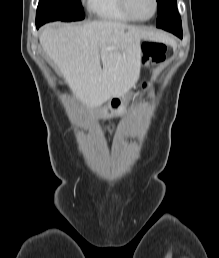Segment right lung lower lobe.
Masks as SVG:
<instances>
[{
    "mask_svg": "<svg viewBox=\"0 0 219 258\" xmlns=\"http://www.w3.org/2000/svg\"><path fill=\"white\" fill-rule=\"evenodd\" d=\"M40 26H41V25L36 24L37 29H38Z\"/></svg>",
    "mask_w": 219,
    "mask_h": 258,
    "instance_id": "1",
    "label": "right lung lower lobe"
}]
</instances>
